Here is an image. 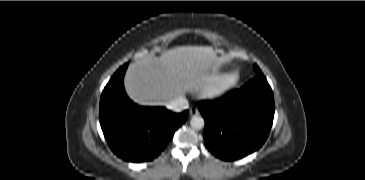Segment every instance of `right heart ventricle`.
I'll return each mask as SVG.
<instances>
[{
  "mask_svg": "<svg viewBox=\"0 0 365 180\" xmlns=\"http://www.w3.org/2000/svg\"><path fill=\"white\" fill-rule=\"evenodd\" d=\"M219 74L218 73H215V74H213V75H211L207 80H206V82H211V81H213L215 78H217V76H218Z\"/></svg>",
  "mask_w": 365,
  "mask_h": 180,
  "instance_id": "1",
  "label": "right heart ventricle"
}]
</instances>
